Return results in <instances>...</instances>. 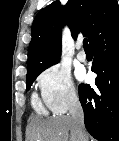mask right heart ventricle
<instances>
[{
	"label": "right heart ventricle",
	"mask_w": 119,
	"mask_h": 141,
	"mask_svg": "<svg viewBox=\"0 0 119 141\" xmlns=\"http://www.w3.org/2000/svg\"><path fill=\"white\" fill-rule=\"evenodd\" d=\"M32 102H33V106L35 107V109L41 113H45V109L42 106V104L40 103V101L38 100V98L36 96H33L32 98Z\"/></svg>",
	"instance_id": "e07e8e85"
}]
</instances>
